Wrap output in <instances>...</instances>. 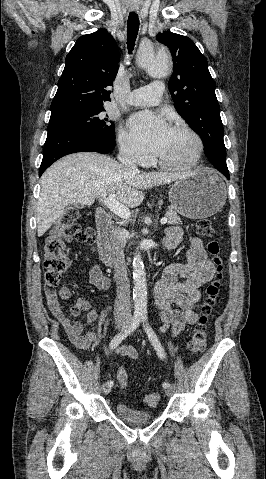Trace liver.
Listing matches in <instances>:
<instances>
[{"label":"liver","mask_w":266,"mask_h":479,"mask_svg":"<svg viewBox=\"0 0 266 479\" xmlns=\"http://www.w3.org/2000/svg\"><path fill=\"white\" fill-rule=\"evenodd\" d=\"M186 173H131L114 159L94 152L68 155L49 167L41 177L37 202V233L42 236L77 203L92 205L96 198L115 195L126 207L144 200L143 190L178 180Z\"/></svg>","instance_id":"1"}]
</instances>
